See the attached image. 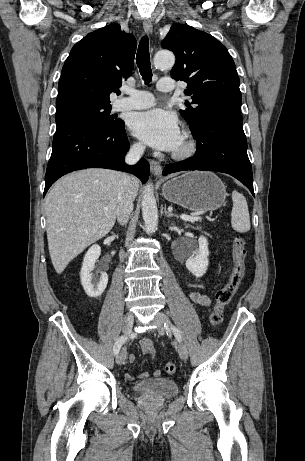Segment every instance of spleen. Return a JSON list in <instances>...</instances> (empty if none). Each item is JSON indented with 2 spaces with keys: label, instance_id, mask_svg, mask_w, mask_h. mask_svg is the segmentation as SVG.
Here are the masks:
<instances>
[{
  "label": "spleen",
  "instance_id": "3e777b00",
  "mask_svg": "<svg viewBox=\"0 0 305 461\" xmlns=\"http://www.w3.org/2000/svg\"><path fill=\"white\" fill-rule=\"evenodd\" d=\"M233 207L231 212V226L241 233L250 230V216L245 197L237 191L232 192Z\"/></svg>",
  "mask_w": 305,
  "mask_h": 461
}]
</instances>
